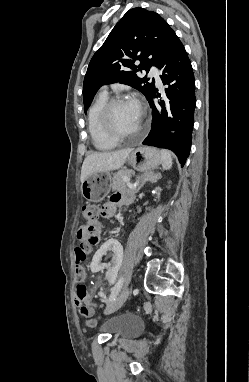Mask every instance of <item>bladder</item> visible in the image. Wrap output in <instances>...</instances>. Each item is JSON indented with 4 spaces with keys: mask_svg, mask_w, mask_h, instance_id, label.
<instances>
[{
    "mask_svg": "<svg viewBox=\"0 0 249 382\" xmlns=\"http://www.w3.org/2000/svg\"><path fill=\"white\" fill-rule=\"evenodd\" d=\"M103 329L112 337H131L141 331L142 324L134 316L117 317L105 322Z\"/></svg>",
    "mask_w": 249,
    "mask_h": 382,
    "instance_id": "31cf9c89",
    "label": "bladder"
}]
</instances>
